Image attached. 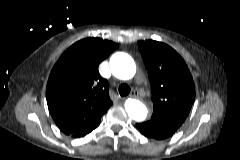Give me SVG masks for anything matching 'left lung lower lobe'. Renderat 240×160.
I'll return each mask as SVG.
<instances>
[{"label": "left lung lower lobe", "instance_id": "left-lung-lower-lobe-1", "mask_svg": "<svg viewBox=\"0 0 240 160\" xmlns=\"http://www.w3.org/2000/svg\"><path fill=\"white\" fill-rule=\"evenodd\" d=\"M136 126L144 136L156 140L167 139L173 135L171 132L157 126L151 121L137 123Z\"/></svg>", "mask_w": 240, "mask_h": 160}]
</instances>
